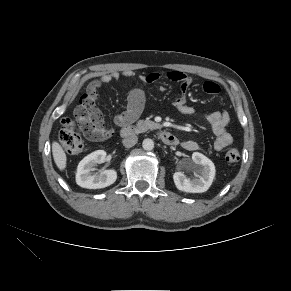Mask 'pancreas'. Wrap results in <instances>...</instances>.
Here are the masks:
<instances>
[{"label":"pancreas","instance_id":"pancreas-1","mask_svg":"<svg viewBox=\"0 0 291 291\" xmlns=\"http://www.w3.org/2000/svg\"><path fill=\"white\" fill-rule=\"evenodd\" d=\"M155 126H156V124L152 121L139 120L136 124L134 131L136 133H140V132H144V131L148 130L149 128H153Z\"/></svg>","mask_w":291,"mask_h":291}]
</instances>
